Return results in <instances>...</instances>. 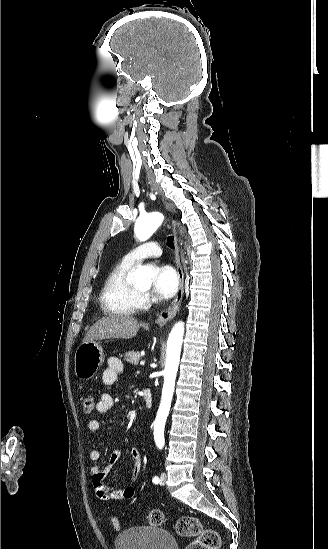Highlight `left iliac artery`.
<instances>
[{"instance_id":"44dca946","label":"left iliac artery","mask_w":328,"mask_h":549,"mask_svg":"<svg viewBox=\"0 0 328 549\" xmlns=\"http://www.w3.org/2000/svg\"><path fill=\"white\" fill-rule=\"evenodd\" d=\"M152 481H153L155 484H157V483H159V478H158L157 476H155V477L152 479Z\"/></svg>"}]
</instances>
